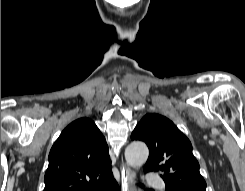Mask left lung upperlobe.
I'll list each match as a JSON object with an SVG mask.
<instances>
[{
  "instance_id": "left-lung-upper-lobe-1",
  "label": "left lung upper lobe",
  "mask_w": 245,
  "mask_h": 191,
  "mask_svg": "<svg viewBox=\"0 0 245 191\" xmlns=\"http://www.w3.org/2000/svg\"><path fill=\"white\" fill-rule=\"evenodd\" d=\"M131 139L147 144L149 157L144 172H161L166 191H206L192 144L171 120L155 113L146 114Z\"/></svg>"
}]
</instances>
